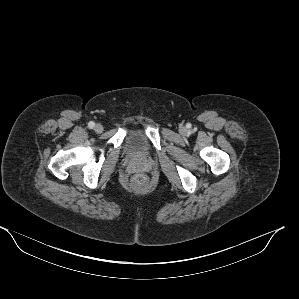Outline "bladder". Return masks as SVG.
Segmentation results:
<instances>
[{
  "label": "bladder",
  "instance_id": "obj_1",
  "mask_svg": "<svg viewBox=\"0 0 299 299\" xmlns=\"http://www.w3.org/2000/svg\"><path fill=\"white\" fill-rule=\"evenodd\" d=\"M148 147L149 143L147 137L139 131L130 132L123 144L124 152L135 156L146 155Z\"/></svg>",
  "mask_w": 299,
  "mask_h": 299
}]
</instances>
